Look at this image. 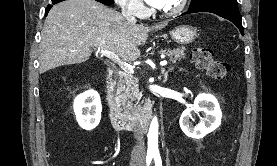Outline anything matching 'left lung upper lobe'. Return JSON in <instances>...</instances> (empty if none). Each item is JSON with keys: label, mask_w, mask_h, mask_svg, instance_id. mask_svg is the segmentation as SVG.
Wrapping results in <instances>:
<instances>
[{"label": "left lung upper lobe", "mask_w": 277, "mask_h": 166, "mask_svg": "<svg viewBox=\"0 0 277 166\" xmlns=\"http://www.w3.org/2000/svg\"><path fill=\"white\" fill-rule=\"evenodd\" d=\"M228 4V5H237V0H192L189 10H194L196 8L210 5V4Z\"/></svg>", "instance_id": "5c2ea615"}]
</instances>
